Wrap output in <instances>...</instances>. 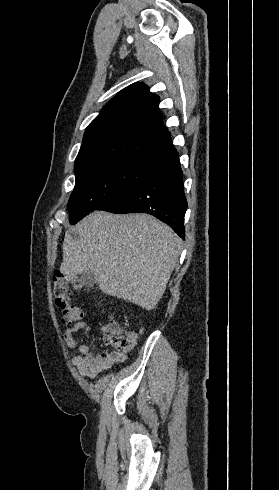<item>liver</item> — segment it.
Returning a JSON list of instances; mask_svg holds the SVG:
<instances>
[{
	"label": "liver",
	"mask_w": 279,
	"mask_h": 490,
	"mask_svg": "<svg viewBox=\"0 0 279 490\" xmlns=\"http://www.w3.org/2000/svg\"><path fill=\"white\" fill-rule=\"evenodd\" d=\"M72 232L63 242V276L92 272L104 294L143 310L156 308L182 244L169 226L149 214L93 212Z\"/></svg>",
	"instance_id": "6515ba94"
}]
</instances>
